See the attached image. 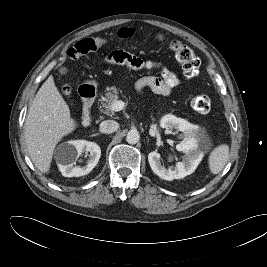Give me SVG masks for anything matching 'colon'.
<instances>
[{
  "mask_svg": "<svg viewBox=\"0 0 267 267\" xmlns=\"http://www.w3.org/2000/svg\"><path fill=\"white\" fill-rule=\"evenodd\" d=\"M133 35L134 30L131 28H122L118 32L119 38H130ZM107 42L108 40L105 38H84L69 48L67 54L70 59H77L82 55L98 50ZM169 46L177 61L180 63L184 76L187 79L196 77L200 61L194 51L187 45L175 40L171 41ZM62 91L66 97H70L71 87L68 84L63 86ZM191 107L198 114H207L210 111L211 102L206 95H196L191 100Z\"/></svg>",
  "mask_w": 267,
  "mask_h": 267,
  "instance_id": "5ec220e1",
  "label": "colon"
}]
</instances>
